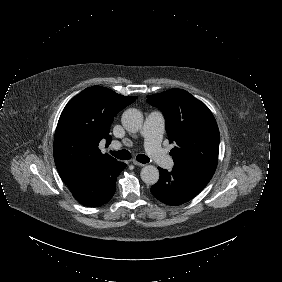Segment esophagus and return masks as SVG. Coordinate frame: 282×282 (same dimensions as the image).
I'll return each instance as SVG.
<instances>
[{
    "mask_svg": "<svg viewBox=\"0 0 282 282\" xmlns=\"http://www.w3.org/2000/svg\"><path fill=\"white\" fill-rule=\"evenodd\" d=\"M132 163L137 166H144V163H140L137 160H132Z\"/></svg>",
    "mask_w": 282,
    "mask_h": 282,
    "instance_id": "obj_1",
    "label": "esophagus"
}]
</instances>
